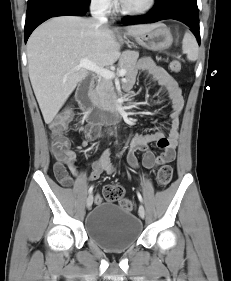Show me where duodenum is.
Instances as JSON below:
<instances>
[{
	"mask_svg": "<svg viewBox=\"0 0 231 281\" xmlns=\"http://www.w3.org/2000/svg\"><path fill=\"white\" fill-rule=\"evenodd\" d=\"M91 83L82 81L76 91V99L86 111L87 121L96 126L118 122L127 106L126 103H115L104 110L92 108L90 97Z\"/></svg>",
	"mask_w": 231,
	"mask_h": 281,
	"instance_id": "duodenum-1",
	"label": "duodenum"
}]
</instances>
